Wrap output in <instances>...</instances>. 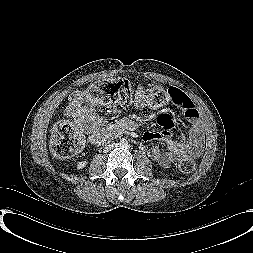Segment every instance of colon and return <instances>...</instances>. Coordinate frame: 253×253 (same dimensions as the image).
Instances as JSON below:
<instances>
[{
  "mask_svg": "<svg viewBox=\"0 0 253 253\" xmlns=\"http://www.w3.org/2000/svg\"><path fill=\"white\" fill-rule=\"evenodd\" d=\"M173 89L154 86L150 88L133 87L125 79H106L98 81L84 93L91 103L105 106H129L156 108L174 102ZM84 144L78 128L70 122H61L51 136V150L58 158H69L81 151ZM179 170L189 174L195 169V160L184 157L178 162Z\"/></svg>",
  "mask_w": 253,
  "mask_h": 253,
  "instance_id": "obj_1",
  "label": "colon"
}]
</instances>
